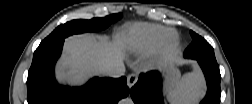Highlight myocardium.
<instances>
[{"mask_svg": "<svg viewBox=\"0 0 252 104\" xmlns=\"http://www.w3.org/2000/svg\"><path fill=\"white\" fill-rule=\"evenodd\" d=\"M170 47H171L172 50H176L178 48V43L174 42L173 44H171Z\"/></svg>", "mask_w": 252, "mask_h": 104, "instance_id": "1", "label": "myocardium"}]
</instances>
